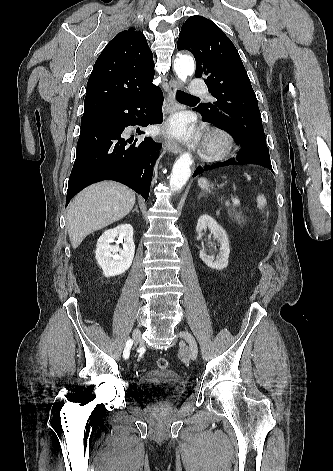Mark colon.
Masks as SVG:
<instances>
[{"mask_svg":"<svg viewBox=\"0 0 333 471\" xmlns=\"http://www.w3.org/2000/svg\"><path fill=\"white\" fill-rule=\"evenodd\" d=\"M168 365H169V364H168V361H167L166 358L160 357V358L157 359V366H158V368H160V369H166V368H168Z\"/></svg>","mask_w":333,"mask_h":471,"instance_id":"colon-1","label":"colon"}]
</instances>
